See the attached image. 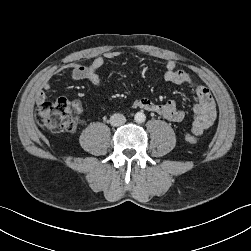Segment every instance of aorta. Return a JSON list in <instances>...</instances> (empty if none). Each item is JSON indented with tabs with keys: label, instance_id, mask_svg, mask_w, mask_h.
Wrapping results in <instances>:
<instances>
[{
	"label": "aorta",
	"instance_id": "1",
	"mask_svg": "<svg viewBox=\"0 0 251 251\" xmlns=\"http://www.w3.org/2000/svg\"><path fill=\"white\" fill-rule=\"evenodd\" d=\"M146 119V116L143 112H137L134 116V120L137 122V123H142L144 122Z\"/></svg>",
	"mask_w": 251,
	"mask_h": 251
}]
</instances>
